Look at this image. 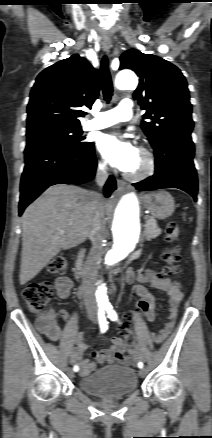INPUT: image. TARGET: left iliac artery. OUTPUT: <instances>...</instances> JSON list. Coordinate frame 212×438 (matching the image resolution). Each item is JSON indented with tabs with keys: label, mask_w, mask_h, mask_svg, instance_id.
<instances>
[{
	"label": "left iliac artery",
	"mask_w": 212,
	"mask_h": 438,
	"mask_svg": "<svg viewBox=\"0 0 212 438\" xmlns=\"http://www.w3.org/2000/svg\"><path fill=\"white\" fill-rule=\"evenodd\" d=\"M106 311L108 313V317L112 320V321H116L117 320V313L115 312V310H113L112 306H108L106 307ZM143 363L139 362L138 363V367L139 368H143Z\"/></svg>",
	"instance_id": "44dca946"
}]
</instances>
